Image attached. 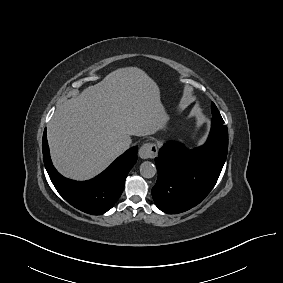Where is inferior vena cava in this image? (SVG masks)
I'll return each mask as SVG.
<instances>
[{
	"instance_id": "1",
	"label": "inferior vena cava",
	"mask_w": 283,
	"mask_h": 283,
	"mask_svg": "<svg viewBox=\"0 0 283 283\" xmlns=\"http://www.w3.org/2000/svg\"><path fill=\"white\" fill-rule=\"evenodd\" d=\"M131 142H132V140H131L130 136L125 135L124 137H122L119 144L122 148L126 149L131 144Z\"/></svg>"
}]
</instances>
